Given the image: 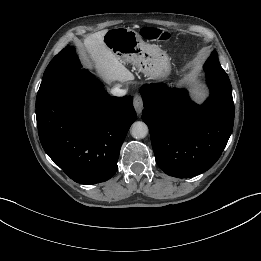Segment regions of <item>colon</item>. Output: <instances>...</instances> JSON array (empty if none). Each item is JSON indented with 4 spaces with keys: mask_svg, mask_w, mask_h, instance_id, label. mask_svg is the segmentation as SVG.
Segmentation results:
<instances>
[{
    "mask_svg": "<svg viewBox=\"0 0 261 261\" xmlns=\"http://www.w3.org/2000/svg\"><path fill=\"white\" fill-rule=\"evenodd\" d=\"M141 34L144 38L154 41H167L171 37L168 32L154 27H144Z\"/></svg>",
    "mask_w": 261,
    "mask_h": 261,
    "instance_id": "colon-1",
    "label": "colon"
}]
</instances>
